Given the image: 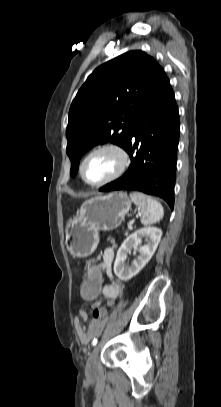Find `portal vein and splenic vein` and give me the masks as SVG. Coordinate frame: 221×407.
<instances>
[{
    "label": "portal vein and splenic vein",
    "mask_w": 221,
    "mask_h": 407,
    "mask_svg": "<svg viewBox=\"0 0 221 407\" xmlns=\"http://www.w3.org/2000/svg\"><path fill=\"white\" fill-rule=\"evenodd\" d=\"M128 228H129V229H132V228H133V223H132V222L129 223Z\"/></svg>",
    "instance_id": "18ae733b"
}]
</instances>
